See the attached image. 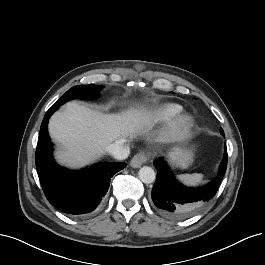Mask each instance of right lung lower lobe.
Masks as SVG:
<instances>
[{"mask_svg": "<svg viewBox=\"0 0 265 265\" xmlns=\"http://www.w3.org/2000/svg\"><path fill=\"white\" fill-rule=\"evenodd\" d=\"M58 107L52 106L43 119L36 150L39 180L48 201L60 211L72 216L92 212L107 193L111 177L126 163L106 162L87 169L70 171L59 167L52 158V145L47 124Z\"/></svg>", "mask_w": 265, "mask_h": 265, "instance_id": "1", "label": "right lung lower lobe"}]
</instances>
